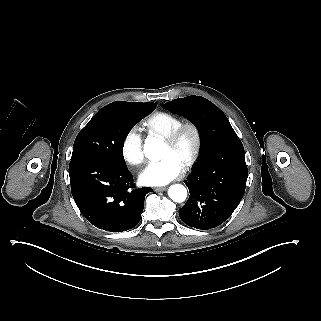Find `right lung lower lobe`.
<instances>
[{
	"instance_id": "1",
	"label": "right lung lower lobe",
	"mask_w": 321,
	"mask_h": 321,
	"mask_svg": "<svg viewBox=\"0 0 321 321\" xmlns=\"http://www.w3.org/2000/svg\"><path fill=\"white\" fill-rule=\"evenodd\" d=\"M71 191L84 217L95 227L123 232L136 226L144 208V198L152 189H135L127 166L81 157L69 165Z\"/></svg>"
}]
</instances>
